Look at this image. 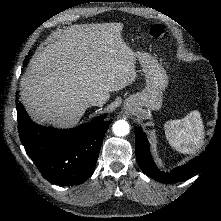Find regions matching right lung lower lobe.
<instances>
[{"label": "right lung lower lobe", "mask_w": 221, "mask_h": 221, "mask_svg": "<svg viewBox=\"0 0 221 221\" xmlns=\"http://www.w3.org/2000/svg\"><path fill=\"white\" fill-rule=\"evenodd\" d=\"M16 106L21 142L46 180L75 185L92 175L111 121L99 117L77 128L60 130L35 124L20 103Z\"/></svg>", "instance_id": "98d812e1"}]
</instances>
